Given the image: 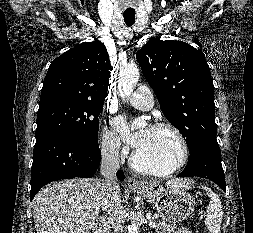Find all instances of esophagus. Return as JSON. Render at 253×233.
Instances as JSON below:
<instances>
[{
  "label": "esophagus",
  "instance_id": "esophagus-1",
  "mask_svg": "<svg viewBox=\"0 0 253 233\" xmlns=\"http://www.w3.org/2000/svg\"><path fill=\"white\" fill-rule=\"evenodd\" d=\"M127 184L130 186V187H136V186H142L143 183L132 178V177H128L127 178Z\"/></svg>",
  "mask_w": 253,
  "mask_h": 233
}]
</instances>
